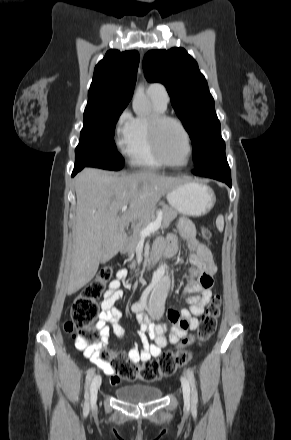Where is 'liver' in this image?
<instances>
[{"instance_id":"1","label":"liver","mask_w":291,"mask_h":440,"mask_svg":"<svg viewBox=\"0 0 291 440\" xmlns=\"http://www.w3.org/2000/svg\"><path fill=\"white\" fill-rule=\"evenodd\" d=\"M183 180L144 170L130 175L86 168L75 178L76 218L68 294L80 290L125 245L123 229L150 215L163 195ZM128 211L119 218L123 206Z\"/></svg>"}]
</instances>
